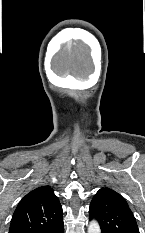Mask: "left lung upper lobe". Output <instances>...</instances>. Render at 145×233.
Segmentation results:
<instances>
[{"instance_id": "5c2ea615", "label": "left lung upper lobe", "mask_w": 145, "mask_h": 233, "mask_svg": "<svg viewBox=\"0 0 145 233\" xmlns=\"http://www.w3.org/2000/svg\"><path fill=\"white\" fill-rule=\"evenodd\" d=\"M89 217L99 222L102 233H139L127 202L110 188H101L95 194L90 204Z\"/></svg>"}]
</instances>
